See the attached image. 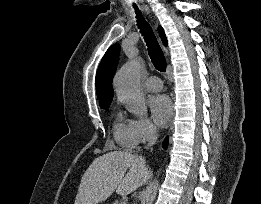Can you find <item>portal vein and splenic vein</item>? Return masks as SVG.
Listing matches in <instances>:
<instances>
[{
  "label": "portal vein and splenic vein",
  "instance_id": "portal-vein-and-splenic-vein-1",
  "mask_svg": "<svg viewBox=\"0 0 261 204\" xmlns=\"http://www.w3.org/2000/svg\"><path fill=\"white\" fill-rule=\"evenodd\" d=\"M120 204H126V202L125 201H121Z\"/></svg>",
  "mask_w": 261,
  "mask_h": 204
}]
</instances>
